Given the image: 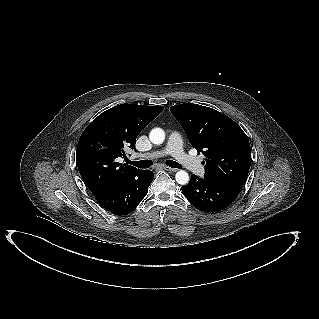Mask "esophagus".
Listing matches in <instances>:
<instances>
[{
  "mask_svg": "<svg viewBox=\"0 0 319 319\" xmlns=\"http://www.w3.org/2000/svg\"><path fill=\"white\" fill-rule=\"evenodd\" d=\"M163 168H164V170H166V171H168V172H176V171H177V169L171 168V167H169V166H164Z\"/></svg>",
  "mask_w": 319,
  "mask_h": 319,
  "instance_id": "esophagus-1",
  "label": "esophagus"
}]
</instances>
